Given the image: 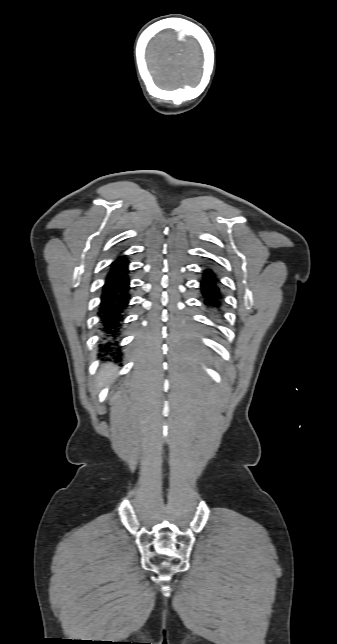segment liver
Returning a JSON list of instances; mask_svg holds the SVG:
<instances>
[{"label": "liver", "mask_w": 337, "mask_h": 644, "mask_svg": "<svg viewBox=\"0 0 337 644\" xmlns=\"http://www.w3.org/2000/svg\"><path fill=\"white\" fill-rule=\"evenodd\" d=\"M116 373L117 369L111 364H108L104 368H102L96 379V389L100 390L105 387L109 383V381L116 375Z\"/></svg>", "instance_id": "obj_1"}]
</instances>
